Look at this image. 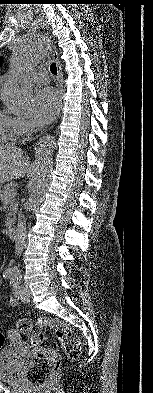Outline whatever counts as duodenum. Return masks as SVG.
<instances>
[{"instance_id": "410a0bca", "label": "duodenum", "mask_w": 153, "mask_h": 393, "mask_svg": "<svg viewBox=\"0 0 153 393\" xmlns=\"http://www.w3.org/2000/svg\"><path fill=\"white\" fill-rule=\"evenodd\" d=\"M8 234L10 238L14 239L17 236V227L15 225H11L8 227Z\"/></svg>"}]
</instances>
